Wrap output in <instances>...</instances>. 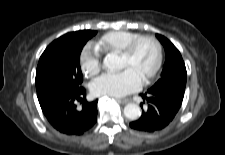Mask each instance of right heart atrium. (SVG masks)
Segmentation results:
<instances>
[{"label":"right heart atrium","mask_w":225,"mask_h":155,"mask_svg":"<svg viewBox=\"0 0 225 155\" xmlns=\"http://www.w3.org/2000/svg\"><path fill=\"white\" fill-rule=\"evenodd\" d=\"M80 67L82 72L88 76L96 75L101 69L100 53L91 45H87L80 55Z\"/></svg>","instance_id":"d8ad5b80"}]
</instances>
